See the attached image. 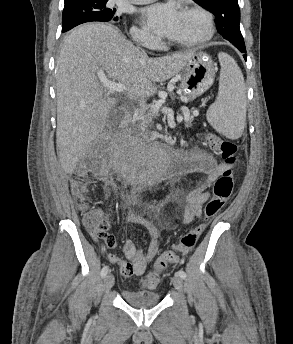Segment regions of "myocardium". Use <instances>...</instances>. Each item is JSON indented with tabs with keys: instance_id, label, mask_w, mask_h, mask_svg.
I'll list each match as a JSON object with an SVG mask.
<instances>
[{
	"instance_id": "myocardium-1",
	"label": "myocardium",
	"mask_w": 293,
	"mask_h": 344,
	"mask_svg": "<svg viewBox=\"0 0 293 344\" xmlns=\"http://www.w3.org/2000/svg\"><path fill=\"white\" fill-rule=\"evenodd\" d=\"M182 12L197 13L204 21L205 29L201 36L188 41H169V44L178 48H194L209 42L215 34V21L212 13L200 5H188Z\"/></svg>"
}]
</instances>
